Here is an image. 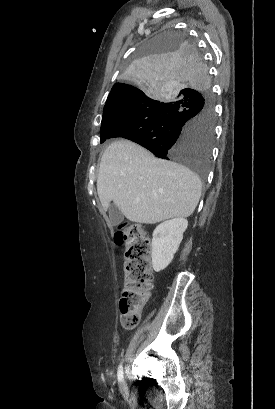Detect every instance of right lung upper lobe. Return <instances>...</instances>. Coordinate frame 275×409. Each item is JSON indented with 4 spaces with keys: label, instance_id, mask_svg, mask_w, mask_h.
I'll return each mask as SVG.
<instances>
[{
    "label": "right lung upper lobe",
    "instance_id": "right-lung-upper-lobe-1",
    "mask_svg": "<svg viewBox=\"0 0 275 409\" xmlns=\"http://www.w3.org/2000/svg\"><path fill=\"white\" fill-rule=\"evenodd\" d=\"M139 94H143L142 90H136L135 85H124V83H116L113 85L111 92L107 98L103 112L110 110L119 102L133 97Z\"/></svg>",
    "mask_w": 275,
    "mask_h": 409
}]
</instances>
